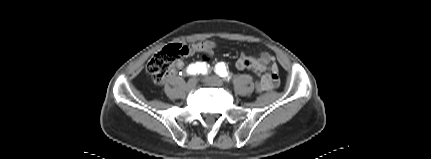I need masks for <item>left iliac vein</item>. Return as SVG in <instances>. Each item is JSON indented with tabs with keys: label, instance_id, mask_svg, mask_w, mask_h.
<instances>
[{
	"label": "left iliac vein",
	"instance_id": "obj_1",
	"mask_svg": "<svg viewBox=\"0 0 431 159\" xmlns=\"http://www.w3.org/2000/svg\"><path fill=\"white\" fill-rule=\"evenodd\" d=\"M205 84L210 86H222L223 81L218 76H209L202 80Z\"/></svg>",
	"mask_w": 431,
	"mask_h": 159
}]
</instances>
